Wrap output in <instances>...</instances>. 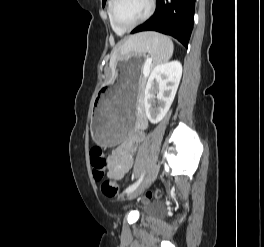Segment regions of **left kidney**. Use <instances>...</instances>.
<instances>
[{
    "mask_svg": "<svg viewBox=\"0 0 264 247\" xmlns=\"http://www.w3.org/2000/svg\"><path fill=\"white\" fill-rule=\"evenodd\" d=\"M181 76L182 65L178 61L158 64L151 71L144 92L145 112L151 123L157 124L167 114L176 95Z\"/></svg>",
    "mask_w": 264,
    "mask_h": 247,
    "instance_id": "left-kidney-1",
    "label": "left kidney"
}]
</instances>
